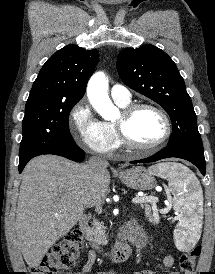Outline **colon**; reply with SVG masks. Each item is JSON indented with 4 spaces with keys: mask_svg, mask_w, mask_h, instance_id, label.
<instances>
[{
    "mask_svg": "<svg viewBox=\"0 0 215 274\" xmlns=\"http://www.w3.org/2000/svg\"><path fill=\"white\" fill-rule=\"evenodd\" d=\"M82 247L83 239L80 230L74 229L70 231L47 252L39 264L31 269V274H62V271L69 270L74 266ZM200 251L201 247L196 246L182 254L179 261L182 273L194 274Z\"/></svg>",
    "mask_w": 215,
    "mask_h": 274,
    "instance_id": "obj_1",
    "label": "colon"
}]
</instances>
